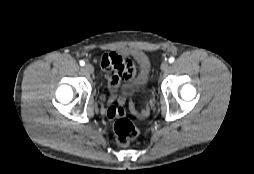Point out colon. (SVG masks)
Here are the masks:
<instances>
[{
    "label": "colon",
    "instance_id": "5ec220e1",
    "mask_svg": "<svg viewBox=\"0 0 254 174\" xmlns=\"http://www.w3.org/2000/svg\"><path fill=\"white\" fill-rule=\"evenodd\" d=\"M131 110L139 117H146L148 115V109H145L141 113H136L134 107L131 106ZM113 114L117 118L113 126L116 142L119 145L126 146L137 138L139 131L132 122L124 118L125 109L123 106L114 109Z\"/></svg>",
    "mask_w": 254,
    "mask_h": 174
}]
</instances>
